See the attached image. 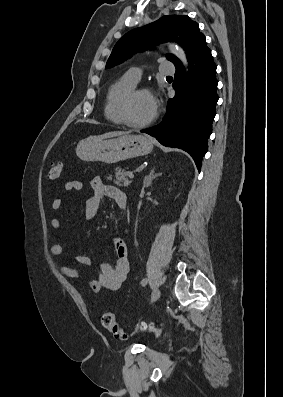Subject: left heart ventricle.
<instances>
[{"instance_id": "1", "label": "left heart ventricle", "mask_w": 283, "mask_h": 397, "mask_svg": "<svg viewBox=\"0 0 283 397\" xmlns=\"http://www.w3.org/2000/svg\"><path fill=\"white\" fill-rule=\"evenodd\" d=\"M155 111V103L151 96L145 93L136 95L129 104L128 117L139 123L149 119Z\"/></svg>"}]
</instances>
